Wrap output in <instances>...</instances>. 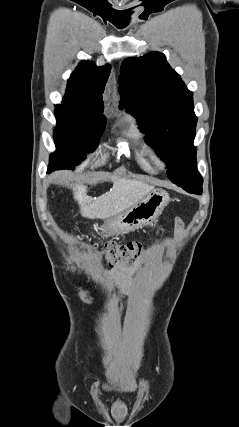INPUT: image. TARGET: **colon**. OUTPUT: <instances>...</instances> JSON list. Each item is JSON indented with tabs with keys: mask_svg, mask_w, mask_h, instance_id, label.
Here are the masks:
<instances>
[{
	"mask_svg": "<svg viewBox=\"0 0 239 427\" xmlns=\"http://www.w3.org/2000/svg\"><path fill=\"white\" fill-rule=\"evenodd\" d=\"M144 250L140 241H129L124 244L107 243L102 250L105 261L113 266H129L139 258Z\"/></svg>",
	"mask_w": 239,
	"mask_h": 427,
	"instance_id": "obj_1",
	"label": "colon"
}]
</instances>
